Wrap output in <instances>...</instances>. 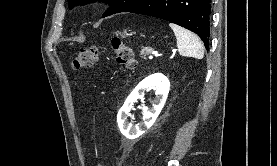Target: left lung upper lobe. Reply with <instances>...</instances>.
<instances>
[{"label":"left lung upper lobe","mask_w":277,"mask_h":166,"mask_svg":"<svg viewBox=\"0 0 277 166\" xmlns=\"http://www.w3.org/2000/svg\"><path fill=\"white\" fill-rule=\"evenodd\" d=\"M96 0H68L70 8H73L77 5H83L89 2H94ZM102 1V0H101ZM107 3L111 4V7L108 8L102 17H106L115 13H120L131 6L135 5L140 0H105Z\"/></svg>","instance_id":"left-lung-upper-lobe-1"}]
</instances>
